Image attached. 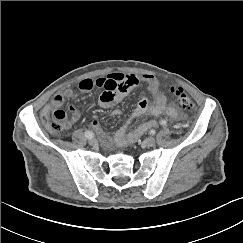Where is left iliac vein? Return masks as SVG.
<instances>
[{
	"instance_id": "4c4485c4",
	"label": "left iliac vein",
	"mask_w": 243,
	"mask_h": 243,
	"mask_svg": "<svg viewBox=\"0 0 243 243\" xmlns=\"http://www.w3.org/2000/svg\"><path fill=\"white\" fill-rule=\"evenodd\" d=\"M144 146L153 147L156 144V140L153 137H148L143 141Z\"/></svg>"
}]
</instances>
